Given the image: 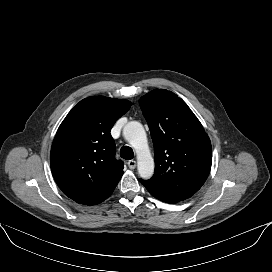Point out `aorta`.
I'll list each match as a JSON object with an SVG mask.
<instances>
[{"instance_id": "762f6f07", "label": "aorta", "mask_w": 272, "mask_h": 272, "mask_svg": "<svg viewBox=\"0 0 272 272\" xmlns=\"http://www.w3.org/2000/svg\"><path fill=\"white\" fill-rule=\"evenodd\" d=\"M123 135L136 151L137 169L140 177L149 179L154 173V161L144 127L137 121H130L125 125Z\"/></svg>"}]
</instances>
